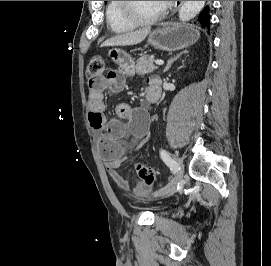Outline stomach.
Here are the masks:
<instances>
[{"label": "stomach", "mask_w": 271, "mask_h": 266, "mask_svg": "<svg viewBox=\"0 0 271 266\" xmlns=\"http://www.w3.org/2000/svg\"><path fill=\"white\" fill-rule=\"evenodd\" d=\"M199 31L190 25L168 23L149 34L148 43L165 51L179 50L195 44ZM108 56L126 73L134 72V61L129 54L117 48L109 50Z\"/></svg>", "instance_id": "1"}]
</instances>
